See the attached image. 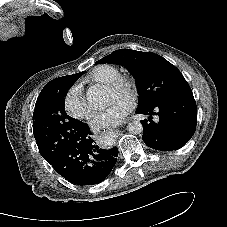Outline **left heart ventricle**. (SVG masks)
I'll list each match as a JSON object with an SVG mask.
<instances>
[{
  "instance_id": "1",
  "label": "left heart ventricle",
  "mask_w": 227,
  "mask_h": 227,
  "mask_svg": "<svg viewBox=\"0 0 227 227\" xmlns=\"http://www.w3.org/2000/svg\"><path fill=\"white\" fill-rule=\"evenodd\" d=\"M127 96V93L123 89H106V97L108 101H112L116 98Z\"/></svg>"
}]
</instances>
